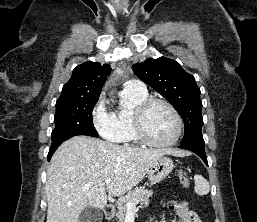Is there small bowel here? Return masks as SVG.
<instances>
[{
	"instance_id": "small-bowel-1",
	"label": "small bowel",
	"mask_w": 257,
	"mask_h": 222,
	"mask_svg": "<svg viewBox=\"0 0 257 222\" xmlns=\"http://www.w3.org/2000/svg\"><path fill=\"white\" fill-rule=\"evenodd\" d=\"M175 212L178 215L177 222H201L198 215L189 209L186 201H180L175 207Z\"/></svg>"
}]
</instances>
